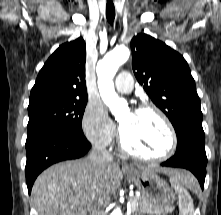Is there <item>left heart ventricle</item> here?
<instances>
[{"label": "left heart ventricle", "instance_id": "b2bd125f", "mask_svg": "<svg viewBox=\"0 0 221 215\" xmlns=\"http://www.w3.org/2000/svg\"><path fill=\"white\" fill-rule=\"evenodd\" d=\"M127 146L145 156H159L169 146V136L160 118L152 112L128 111L121 119Z\"/></svg>", "mask_w": 221, "mask_h": 215}]
</instances>
